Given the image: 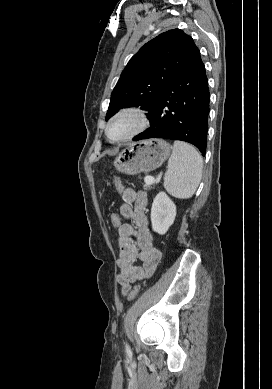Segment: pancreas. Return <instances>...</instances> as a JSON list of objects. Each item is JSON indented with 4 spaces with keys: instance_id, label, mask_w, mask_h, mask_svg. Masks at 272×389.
Masks as SVG:
<instances>
[{
    "instance_id": "obj_1",
    "label": "pancreas",
    "mask_w": 272,
    "mask_h": 389,
    "mask_svg": "<svg viewBox=\"0 0 272 389\" xmlns=\"http://www.w3.org/2000/svg\"><path fill=\"white\" fill-rule=\"evenodd\" d=\"M146 178H148V177H146ZM144 181H145L144 189H150L153 183H148L146 180H144Z\"/></svg>"
}]
</instances>
